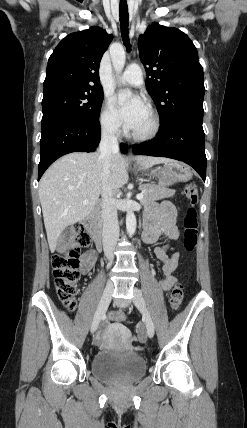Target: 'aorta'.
Segmentation results:
<instances>
[{"label": "aorta", "instance_id": "1", "mask_svg": "<svg viewBox=\"0 0 247 428\" xmlns=\"http://www.w3.org/2000/svg\"><path fill=\"white\" fill-rule=\"evenodd\" d=\"M113 68L117 74H120L125 66L126 55L122 46H115L110 51ZM127 233L131 237L136 230V217L132 210H128L126 214Z\"/></svg>", "mask_w": 247, "mask_h": 428}]
</instances>
